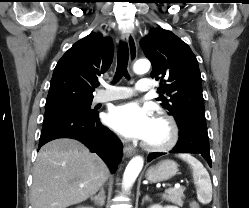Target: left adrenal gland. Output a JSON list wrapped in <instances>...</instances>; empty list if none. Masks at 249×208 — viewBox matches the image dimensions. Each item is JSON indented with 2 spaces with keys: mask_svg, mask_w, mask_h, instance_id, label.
<instances>
[{
  "mask_svg": "<svg viewBox=\"0 0 249 208\" xmlns=\"http://www.w3.org/2000/svg\"><path fill=\"white\" fill-rule=\"evenodd\" d=\"M145 201H151L150 197L146 195L143 200H142V205L144 204Z\"/></svg>",
  "mask_w": 249,
  "mask_h": 208,
  "instance_id": "obj_1",
  "label": "left adrenal gland"
}]
</instances>
